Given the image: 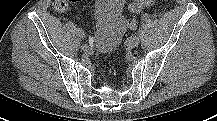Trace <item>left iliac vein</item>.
Returning <instances> with one entry per match:
<instances>
[{
    "instance_id": "obj_1",
    "label": "left iliac vein",
    "mask_w": 217,
    "mask_h": 121,
    "mask_svg": "<svg viewBox=\"0 0 217 121\" xmlns=\"http://www.w3.org/2000/svg\"><path fill=\"white\" fill-rule=\"evenodd\" d=\"M140 43V39L138 36H133L131 38L128 39V46L130 48H135L139 45Z\"/></svg>"
}]
</instances>
